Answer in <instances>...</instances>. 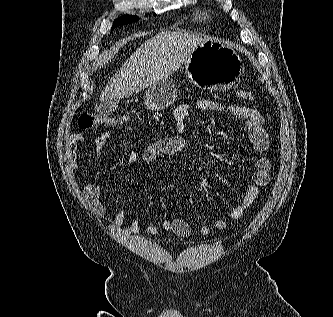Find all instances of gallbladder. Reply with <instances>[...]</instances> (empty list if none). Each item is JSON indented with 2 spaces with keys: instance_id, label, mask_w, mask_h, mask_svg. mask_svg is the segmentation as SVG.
<instances>
[{
  "instance_id": "1",
  "label": "gallbladder",
  "mask_w": 333,
  "mask_h": 317,
  "mask_svg": "<svg viewBox=\"0 0 333 317\" xmlns=\"http://www.w3.org/2000/svg\"><path fill=\"white\" fill-rule=\"evenodd\" d=\"M118 104L119 100L115 98L100 101L96 104V111L102 116H108L117 109Z\"/></svg>"
}]
</instances>
